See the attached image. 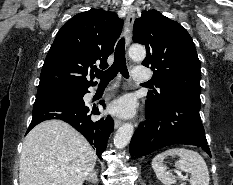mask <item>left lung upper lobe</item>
I'll return each mask as SVG.
<instances>
[{
    "label": "left lung upper lobe",
    "mask_w": 233,
    "mask_h": 185,
    "mask_svg": "<svg viewBox=\"0 0 233 185\" xmlns=\"http://www.w3.org/2000/svg\"><path fill=\"white\" fill-rule=\"evenodd\" d=\"M133 41L145 45L142 65L154 70V84L146 106L158 110L177 93L201 90L200 61L189 33L176 21L156 10L143 11L133 28Z\"/></svg>",
    "instance_id": "1"
}]
</instances>
